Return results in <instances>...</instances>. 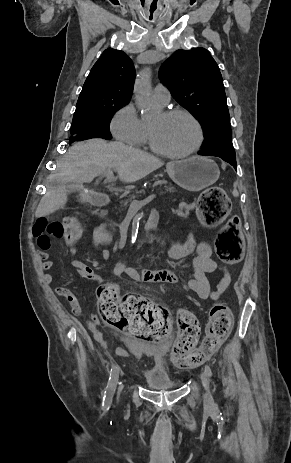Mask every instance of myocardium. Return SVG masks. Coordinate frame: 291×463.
Segmentation results:
<instances>
[{
  "label": "myocardium",
  "instance_id": "myocardium-1",
  "mask_svg": "<svg viewBox=\"0 0 291 463\" xmlns=\"http://www.w3.org/2000/svg\"><path fill=\"white\" fill-rule=\"evenodd\" d=\"M163 115L165 117H174V116H178V115L187 117L189 120H191L193 122V124L195 125V127L197 129V140H196V143L190 149H188L186 151L179 152V153L168 152L166 150L161 149L156 144L155 137H154V132H153L151 126L149 125L148 126V142H149V145H150L151 149L155 153H157V154H159V155H161L163 157H166V158L180 159V158H185V157H188V156L194 154L195 152H197L201 148V146L203 144V141H204L203 126H202L201 122L198 120V118L192 112H190L187 109H183V108H172V109L165 110L163 112Z\"/></svg>",
  "mask_w": 291,
  "mask_h": 463
}]
</instances>
